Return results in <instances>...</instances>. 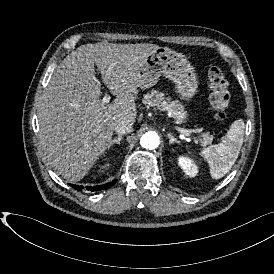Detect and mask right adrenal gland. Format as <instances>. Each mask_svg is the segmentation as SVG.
<instances>
[{
  "instance_id": "1",
  "label": "right adrenal gland",
  "mask_w": 274,
  "mask_h": 274,
  "mask_svg": "<svg viewBox=\"0 0 274 274\" xmlns=\"http://www.w3.org/2000/svg\"><path fill=\"white\" fill-rule=\"evenodd\" d=\"M122 140V135H118L117 137H115L112 140V144L108 147V149H110V147H112L114 144H118L120 145V141Z\"/></svg>"
}]
</instances>
